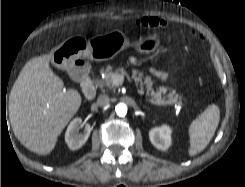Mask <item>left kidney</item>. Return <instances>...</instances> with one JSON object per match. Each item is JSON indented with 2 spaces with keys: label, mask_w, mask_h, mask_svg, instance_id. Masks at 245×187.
<instances>
[{
  "label": "left kidney",
  "mask_w": 245,
  "mask_h": 187,
  "mask_svg": "<svg viewBox=\"0 0 245 187\" xmlns=\"http://www.w3.org/2000/svg\"><path fill=\"white\" fill-rule=\"evenodd\" d=\"M172 130L167 124H163L160 127H155L150 130L149 138L153 146L158 150H167L172 143L171 139Z\"/></svg>",
  "instance_id": "5707ae66"
}]
</instances>
